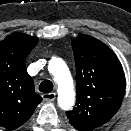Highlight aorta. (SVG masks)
Here are the masks:
<instances>
[{
	"instance_id": "obj_1",
	"label": "aorta",
	"mask_w": 131,
	"mask_h": 131,
	"mask_svg": "<svg viewBox=\"0 0 131 131\" xmlns=\"http://www.w3.org/2000/svg\"><path fill=\"white\" fill-rule=\"evenodd\" d=\"M49 72L54 76L58 86V105L63 110H69L74 105L75 93L73 80L65 62L53 57L48 64Z\"/></svg>"
}]
</instances>
